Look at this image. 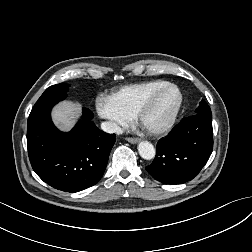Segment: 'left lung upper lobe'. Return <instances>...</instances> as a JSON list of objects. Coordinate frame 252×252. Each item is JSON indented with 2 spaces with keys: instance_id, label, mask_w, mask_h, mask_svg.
<instances>
[{
  "instance_id": "5c2ea615",
  "label": "left lung upper lobe",
  "mask_w": 252,
  "mask_h": 252,
  "mask_svg": "<svg viewBox=\"0 0 252 252\" xmlns=\"http://www.w3.org/2000/svg\"><path fill=\"white\" fill-rule=\"evenodd\" d=\"M195 114L211 115V109L205 101H201L199 107L195 111Z\"/></svg>"
}]
</instances>
